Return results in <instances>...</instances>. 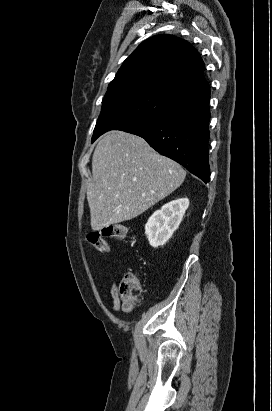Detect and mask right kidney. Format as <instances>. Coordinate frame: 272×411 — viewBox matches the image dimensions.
<instances>
[{
	"label": "right kidney",
	"instance_id": "1",
	"mask_svg": "<svg viewBox=\"0 0 272 411\" xmlns=\"http://www.w3.org/2000/svg\"><path fill=\"white\" fill-rule=\"evenodd\" d=\"M189 206L188 198H179L155 211L145 225V234L154 248L163 246L179 227Z\"/></svg>",
	"mask_w": 272,
	"mask_h": 411
}]
</instances>
